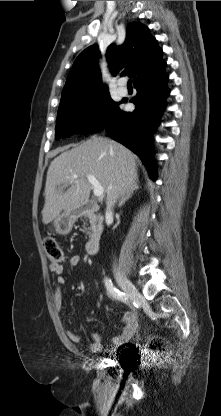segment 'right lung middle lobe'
<instances>
[{
  "instance_id": "dd1d6c3e",
  "label": "right lung middle lobe",
  "mask_w": 221,
  "mask_h": 416,
  "mask_svg": "<svg viewBox=\"0 0 221 416\" xmlns=\"http://www.w3.org/2000/svg\"><path fill=\"white\" fill-rule=\"evenodd\" d=\"M109 92L60 103L56 121V139L76 133L91 134L103 129L119 107Z\"/></svg>"
}]
</instances>
